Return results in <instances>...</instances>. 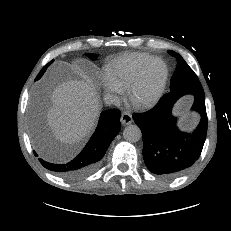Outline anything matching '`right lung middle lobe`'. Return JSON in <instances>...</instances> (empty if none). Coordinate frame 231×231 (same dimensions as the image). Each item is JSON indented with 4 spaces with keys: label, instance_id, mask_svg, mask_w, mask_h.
I'll use <instances>...</instances> for the list:
<instances>
[{
    "label": "right lung middle lobe",
    "instance_id": "dd1d6c3e",
    "mask_svg": "<svg viewBox=\"0 0 231 231\" xmlns=\"http://www.w3.org/2000/svg\"><path fill=\"white\" fill-rule=\"evenodd\" d=\"M86 56H88V57H89L90 59H92V60H96V58H97L98 55H97V54H86ZM51 63H52V61H51L49 64H47V65L40 71V73L38 74L36 80H38V79L41 78V76L44 74L46 68H47Z\"/></svg>",
    "mask_w": 231,
    "mask_h": 231
}]
</instances>
